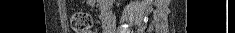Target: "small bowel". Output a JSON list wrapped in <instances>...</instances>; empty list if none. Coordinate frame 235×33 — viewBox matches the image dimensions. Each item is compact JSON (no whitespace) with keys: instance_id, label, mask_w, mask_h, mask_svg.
<instances>
[{"instance_id":"1","label":"small bowel","mask_w":235,"mask_h":33,"mask_svg":"<svg viewBox=\"0 0 235 33\" xmlns=\"http://www.w3.org/2000/svg\"><path fill=\"white\" fill-rule=\"evenodd\" d=\"M88 33H93L92 31H89Z\"/></svg>"}]
</instances>
